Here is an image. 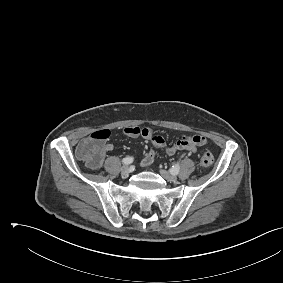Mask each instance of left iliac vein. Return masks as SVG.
Wrapping results in <instances>:
<instances>
[{"instance_id":"1","label":"left iliac vein","mask_w":283,"mask_h":283,"mask_svg":"<svg viewBox=\"0 0 283 283\" xmlns=\"http://www.w3.org/2000/svg\"><path fill=\"white\" fill-rule=\"evenodd\" d=\"M160 174L162 175L163 178H165L169 182L177 181V176L172 174V173H170V172H168V171H166V170L161 169L160 170Z\"/></svg>"}]
</instances>
